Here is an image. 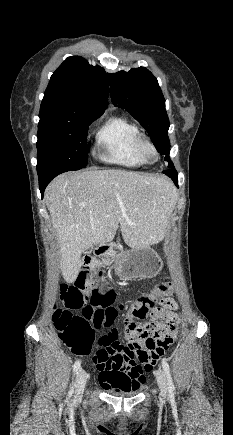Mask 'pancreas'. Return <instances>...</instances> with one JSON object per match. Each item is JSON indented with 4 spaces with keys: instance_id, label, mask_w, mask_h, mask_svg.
Masks as SVG:
<instances>
[{
    "instance_id": "1",
    "label": "pancreas",
    "mask_w": 233,
    "mask_h": 435,
    "mask_svg": "<svg viewBox=\"0 0 233 435\" xmlns=\"http://www.w3.org/2000/svg\"><path fill=\"white\" fill-rule=\"evenodd\" d=\"M108 262V260L107 259H103L102 261H100V260H97L96 261V265L97 266H103L105 263H107Z\"/></svg>"
}]
</instances>
